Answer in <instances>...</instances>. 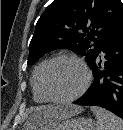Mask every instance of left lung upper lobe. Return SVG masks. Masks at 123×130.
<instances>
[{
    "instance_id": "obj_1",
    "label": "left lung upper lobe",
    "mask_w": 123,
    "mask_h": 130,
    "mask_svg": "<svg viewBox=\"0 0 123 130\" xmlns=\"http://www.w3.org/2000/svg\"><path fill=\"white\" fill-rule=\"evenodd\" d=\"M122 19L120 0H54L36 24L28 65L56 48L85 56L91 65Z\"/></svg>"
}]
</instances>
